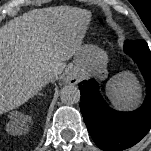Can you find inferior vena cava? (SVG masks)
<instances>
[{
  "label": "inferior vena cava",
  "instance_id": "inferior-vena-cava-1",
  "mask_svg": "<svg viewBox=\"0 0 151 151\" xmlns=\"http://www.w3.org/2000/svg\"><path fill=\"white\" fill-rule=\"evenodd\" d=\"M59 74V72L57 71V70H55L54 72H53V75L54 76H56V75H58Z\"/></svg>",
  "mask_w": 151,
  "mask_h": 151
}]
</instances>
